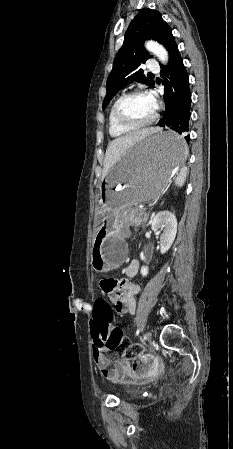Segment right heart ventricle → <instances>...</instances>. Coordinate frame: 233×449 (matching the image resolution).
<instances>
[{
    "label": "right heart ventricle",
    "mask_w": 233,
    "mask_h": 449,
    "mask_svg": "<svg viewBox=\"0 0 233 449\" xmlns=\"http://www.w3.org/2000/svg\"><path fill=\"white\" fill-rule=\"evenodd\" d=\"M113 105L111 106V108L109 110V114H108V131H109V134L111 135V137L119 138V137H122V136H125V135L129 134L132 130L124 129V128L120 127L114 121V118H113V115H112Z\"/></svg>",
    "instance_id": "1"
}]
</instances>
